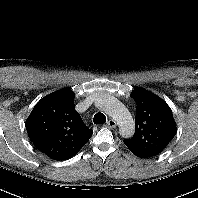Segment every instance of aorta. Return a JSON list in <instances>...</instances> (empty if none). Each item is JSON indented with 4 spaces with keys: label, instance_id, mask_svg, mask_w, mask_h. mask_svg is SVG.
Here are the masks:
<instances>
[{
    "label": "aorta",
    "instance_id": "762f6f07",
    "mask_svg": "<svg viewBox=\"0 0 198 198\" xmlns=\"http://www.w3.org/2000/svg\"><path fill=\"white\" fill-rule=\"evenodd\" d=\"M97 101L99 107L117 122L122 137L129 138L134 134L135 125L132 115L121 102L108 95L100 96Z\"/></svg>",
    "mask_w": 198,
    "mask_h": 198
}]
</instances>
